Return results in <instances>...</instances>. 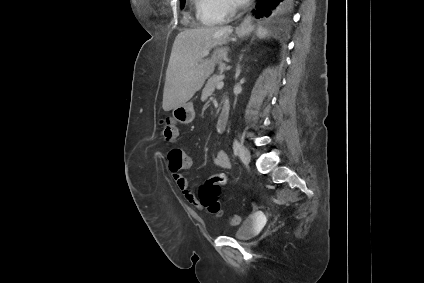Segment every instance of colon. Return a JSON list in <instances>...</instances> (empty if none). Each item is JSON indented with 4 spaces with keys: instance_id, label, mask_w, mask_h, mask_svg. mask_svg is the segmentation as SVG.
Listing matches in <instances>:
<instances>
[{
    "instance_id": "obj_1",
    "label": "colon",
    "mask_w": 424,
    "mask_h": 283,
    "mask_svg": "<svg viewBox=\"0 0 424 283\" xmlns=\"http://www.w3.org/2000/svg\"><path fill=\"white\" fill-rule=\"evenodd\" d=\"M162 137L171 142L177 138L178 130L171 119L162 121ZM168 162L171 171H179L188 166V157L185 152L178 148H173L168 152ZM227 182V178L223 173L215 174L209 177L199 188V199L201 205L213 213L220 212L219 194L220 189ZM230 225H238L240 216L231 215L228 218Z\"/></svg>"
}]
</instances>
